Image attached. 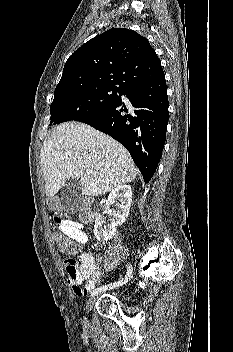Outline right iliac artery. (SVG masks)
Returning <instances> with one entry per match:
<instances>
[{
  "instance_id": "1",
  "label": "right iliac artery",
  "mask_w": 233,
  "mask_h": 352,
  "mask_svg": "<svg viewBox=\"0 0 233 352\" xmlns=\"http://www.w3.org/2000/svg\"><path fill=\"white\" fill-rule=\"evenodd\" d=\"M132 275H133L132 266L127 264V274H126V276L124 278H122L119 281L110 283L108 285L96 288L95 290H93L91 292V296H94V295L98 294L99 292H102V291H105V290H109V289H113V288H116L118 286H121V285L127 283L131 279Z\"/></svg>"
}]
</instances>
